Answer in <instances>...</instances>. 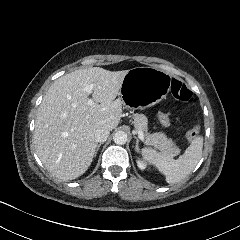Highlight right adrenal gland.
Here are the masks:
<instances>
[{
  "mask_svg": "<svg viewBox=\"0 0 240 240\" xmlns=\"http://www.w3.org/2000/svg\"><path fill=\"white\" fill-rule=\"evenodd\" d=\"M102 144H103V143H100V144L97 145V147H96V151H95V155H94V156H96V154H97V152H98V150L100 149V146H101Z\"/></svg>",
  "mask_w": 240,
  "mask_h": 240,
  "instance_id": "obj_1",
  "label": "right adrenal gland"
}]
</instances>
